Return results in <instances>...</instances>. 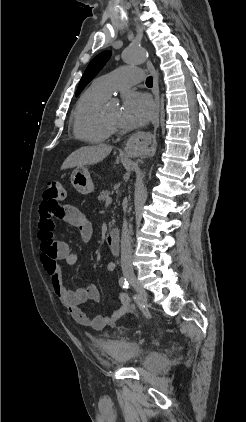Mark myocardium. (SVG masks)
I'll return each instance as SVG.
<instances>
[{
	"instance_id": "obj_1",
	"label": "myocardium",
	"mask_w": 246,
	"mask_h": 422,
	"mask_svg": "<svg viewBox=\"0 0 246 422\" xmlns=\"http://www.w3.org/2000/svg\"><path fill=\"white\" fill-rule=\"evenodd\" d=\"M102 119H103V122L105 123V125H106L107 127H109L110 129H113V128H115V127H116V123H113V122L109 121V120L106 118V116H105V114H104V113H102Z\"/></svg>"
}]
</instances>
